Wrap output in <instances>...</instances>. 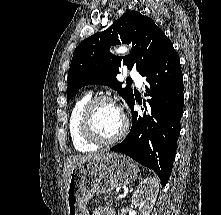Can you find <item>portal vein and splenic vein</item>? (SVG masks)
<instances>
[{
	"instance_id": "portal-vein-and-splenic-vein-1",
	"label": "portal vein and splenic vein",
	"mask_w": 221,
	"mask_h": 215,
	"mask_svg": "<svg viewBox=\"0 0 221 215\" xmlns=\"http://www.w3.org/2000/svg\"><path fill=\"white\" fill-rule=\"evenodd\" d=\"M117 198H118V200H119V199H121V198H122V195H118V197H117Z\"/></svg>"
}]
</instances>
